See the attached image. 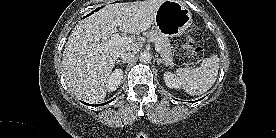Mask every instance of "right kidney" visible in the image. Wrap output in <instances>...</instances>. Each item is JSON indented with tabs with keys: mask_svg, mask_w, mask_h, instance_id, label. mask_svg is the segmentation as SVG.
<instances>
[{
	"mask_svg": "<svg viewBox=\"0 0 276 138\" xmlns=\"http://www.w3.org/2000/svg\"><path fill=\"white\" fill-rule=\"evenodd\" d=\"M123 78L122 69H115L107 79L106 88L108 91H115L121 84Z\"/></svg>",
	"mask_w": 276,
	"mask_h": 138,
	"instance_id": "right-kidney-1",
	"label": "right kidney"
}]
</instances>
